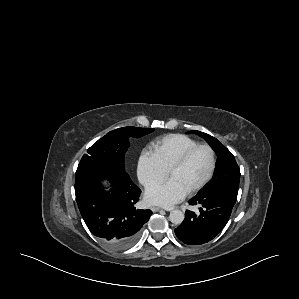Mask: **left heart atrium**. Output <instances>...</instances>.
I'll return each instance as SVG.
<instances>
[{
    "label": "left heart atrium",
    "mask_w": 299,
    "mask_h": 299,
    "mask_svg": "<svg viewBox=\"0 0 299 299\" xmlns=\"http://www.w3.org/2000/svg\"><path fill=\"white\" fill-rule=\"evenodd\" d=\"M186 194L187 191L177 181L170 179L148 187L145 199L150 204L171 207L181 201Z\"/></svg>",
    "instance_id": "1"
}]
</instances>
